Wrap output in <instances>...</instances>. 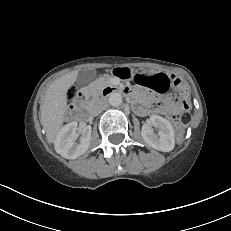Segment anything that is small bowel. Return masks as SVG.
Here are the masks:
<instances>
[{
  "mask_svg": "<svg viewBox=\"0 0 231 231\" xmlns=\"http://www.w3.org/2000/svg\"><path fill=\"white\" fill-rule=\"evenodd\" d=\"M175 80L176 78L174 76L165 73H158V72L144 71L138 74L137 76L138 84L148 87L156 93H164L168 89L172 88L175 85ZM167 100L169 104L168 108L171 111L173 112L179 111V107L173 99L168 98ZM138 110L143 113L154 112L153 110H149V109L141 110L140 108H138Z\"/></svg>",
  "mask_w": 231,
  "mask_h": 231,
  "instance_id": "small-bowel-1",
  "label": "small bowel"
}]
</instances>
